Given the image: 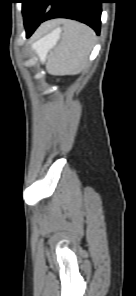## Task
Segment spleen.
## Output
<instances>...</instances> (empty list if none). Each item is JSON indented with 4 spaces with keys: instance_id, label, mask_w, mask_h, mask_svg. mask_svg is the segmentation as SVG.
I'll return each mask as SVG.
<instances>
[{
    "instance_id": "obj_1",
    "label": "spleen",
    "mask_w": 136,
    "mask_h": 296,
    "mask_svg": "<svg viewBox=\"0 0 136 296\" xmlns=\"http://www.w3.org/2000/svg\"><path fill=\"white\" fill-rule=\"evenodd\" d=\"M60 33V28L55 29L51 32L49 39H54L56 44ZM94 42L95 33L91 28L78 22H69L62 35L61 43L48 65L49 72L58 75L79 74L87 64ZM34 49L41 62H44L47 54L44 47L37 45Z\"/></svg>"
}]
</instances>
